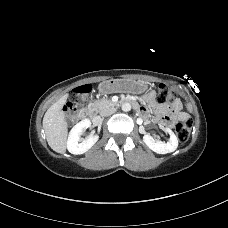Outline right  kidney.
Masks as SVG:
<instances>
[{
    "label": "right kidney",
    "instance_id": "right-kidney-1",
    "mask_svg": "<svg viewBox=\"0 0 228 228\" xmlns=\"http://www.w3.org/2000/svg\"><path fill=\"white\" fill-rule=\"evenodd\" d=\"M91 126V121L88 119L77 123L70 131L67 140V149L74 155H79L87 152L99 139L97 134H90L82 142H79L81 134Z\"/></svg>",
    "mask_w": 228,
    "mask_h": 228
}]
</instances>
